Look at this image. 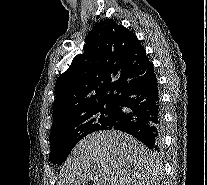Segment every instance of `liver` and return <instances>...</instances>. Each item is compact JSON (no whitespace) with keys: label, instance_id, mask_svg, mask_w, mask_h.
Segmentation results:
<instances>
[{"label":"liver","instance_id":"liver-1","mask_svg":"<svg viewBox=\"0 0 207 185\" xmlns=\"http://www.w3.org/2000/svg\"><path fill=\"white\" fill-rule=\"evenodd\" d=\"M153 153L122 131H97L77 143L59 185H154Z\"/></svg>","mask_w":207,"mask_h":185}]
</instances>
